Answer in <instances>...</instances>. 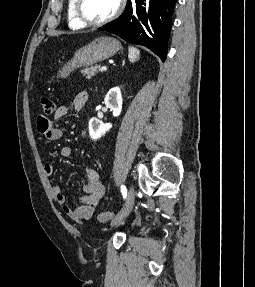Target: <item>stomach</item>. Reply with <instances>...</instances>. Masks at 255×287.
<instances>
[{"label":"stomach","mask_w":255,"mask_h":287,"mask_svg":"<svg viewBox=\"0 0 255 287\" xmlns=\"http://www.w3.org/2000/svg\"><path fill=\"white\" fill-rule=\"evenodd\" d=\"M119 50H122L121 44L115 38H107V36L95 38L90 44L82 46L75 52L72 60L68 62L66 68L61 72L60 78H67L71 72L81 68V66H93L97 62L108 60Z\"/></svg>","instance_id":"0dacf381"}]
</instances>
